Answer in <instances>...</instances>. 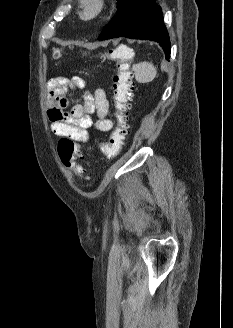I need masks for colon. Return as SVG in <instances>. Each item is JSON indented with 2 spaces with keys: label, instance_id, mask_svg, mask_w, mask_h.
I'll use <instances>...</instances> for the list:
<instances>
[{
  "label": "colon",
  "instance_id": "obj_1",
  "mask_svg": "<svg viewBox=\"0 0 233 328\" xmlns=\"http://www.w3.org/2000/svg\"><path fill=\"white\" fill-rule=\"evenodd\" d=\"M62 53V48L53 49L55 58L60 57ZM108 56L115 59L117 64V71L112 77L116 125L108 141L102 143L99 149L106 160H111L119 154L128 136V115L134 83L130 65L133 58L132 51L125 48H114L109 51ZM57 150L63 166L82 177L84 170L81 163L84 161L85 155L79 145L71 138L62 137Z\"/></svg>",
  "mask_w": 233,
  "mask_h": 328
}]
</instances>
